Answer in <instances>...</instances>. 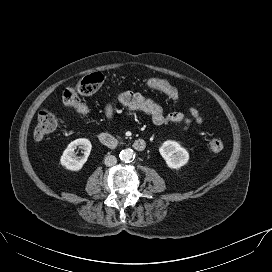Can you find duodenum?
I'll return each instance as SVG.
<instances>
[{
	"label": "duodenum",
	"instance_id": "1",
	"mask_svg": "<svg viewBox=\"0 0 272 272\" xmlns=\"http://www.w3.org/2000/svg\"><path fill=\"white\" fill-rule=\"evenodd\" d=\"M99 142L108 148H117L118 140L111 134L107 132H101L97 136ZM133 148L136 151H143L146 148V141L144 139H136L133 143Z\"/></svg>",
	"mask_w": 272,
	"mask_h": 272
}]
</instances>
